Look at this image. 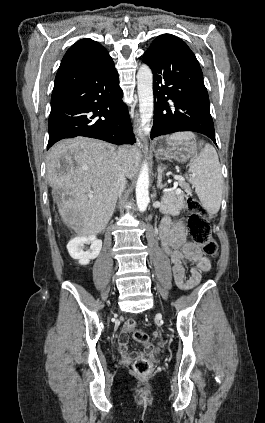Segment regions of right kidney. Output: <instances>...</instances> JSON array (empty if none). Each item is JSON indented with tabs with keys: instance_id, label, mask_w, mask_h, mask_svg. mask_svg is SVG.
<instances>
[{
	"instance_id": "obj_1",
	"label": "right kidney",
	"mask_w": 265,
	"mask_h": 423,
	"mask_svg": "<svg viewBox=\"0 0 265 423\" xmlns=\"http://www.w3.org/2000/svg\"><path fill=\"white\" fill-rule=\"evenodd\" d=\"M90 244V249L84 251V245ZM102 248V241L97 239L96 235L80 236L69 241L67 249L70 256L78 260L79 264L87 265L90 260L98 257Z\"/></svg>"
}]
</instances>
